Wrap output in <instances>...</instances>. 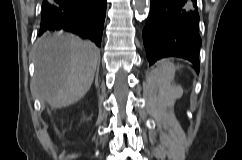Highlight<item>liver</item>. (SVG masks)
<instances>
[{"mask_svg":"<svg viewBox=\"0 0 242 160\" xmlns=\"http://www.w3.org/2000/svg\"><path fill=\"white\" fill-rule=\"evenodd\" d=\"M100 51L72 34L40 38L35 47L33 92L53 108L76 103L90 89Z\"/></svg>","mask_w":242,"mask_h":160,"instance_id":"obj_1","label":"liver"}]
</instances>
